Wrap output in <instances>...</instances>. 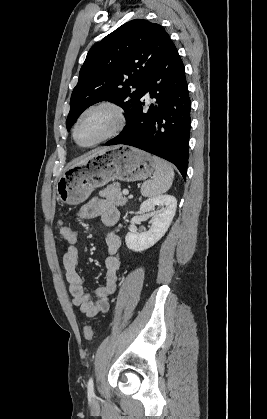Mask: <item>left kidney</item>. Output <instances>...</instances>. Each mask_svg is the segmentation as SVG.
I'll return each mask as SVG.
<instances>
[{"label":"left kidney","mask_w":267,"mask_h":419,"mask_svg":"<svg viewBox=\"0 0 267 419\" xmlns=\"http://www.w3.org/2000/svg\"><path fill=\"white\" fill-rule=\"evenodd\" d=\"M162 207L151 219V228L140 234L128 232L125 237L126 246L135 251L141 252L157 243L167 232L175 216L177 201L171 195H158L145 200L140 205V212L147 213L155 208Z\"/></svg>","instance_id":"5707ae66"}]
</instances>
